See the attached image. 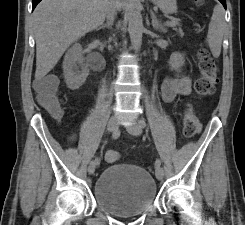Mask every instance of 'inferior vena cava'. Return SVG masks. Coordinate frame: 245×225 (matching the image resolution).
Segmentation results:
<instances>
[{"label": "inferior vena cava", "instance_id": "602c4592", "mask_svg": "<svg viewBox=\"0 0 245 225\" xmlns=\"http://www.w3.org/2000/svg\"><path fill=\"white\" fill-rule=\"evenodd\" d=\"M118 7L115 0H111L107 9H106V15L108 20H114V16L116 15Z\"/></svg>", "mask_w": 245, "mask_h": 225}]
</instances>
